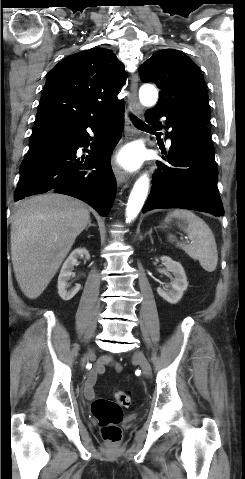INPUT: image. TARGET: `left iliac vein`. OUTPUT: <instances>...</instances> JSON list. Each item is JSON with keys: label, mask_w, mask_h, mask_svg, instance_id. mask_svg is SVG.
Wrapping results in <instances>:
<instances>
[{"label": "left iliac vein", "mask_w": 245, "mask_h": 479, "mask_svg": "<svg viewBox=\"0 0 245 479\" xmlns=\"http://www.w3.org/2000/svg\"><path fill=\"white\" fill-rule=\"evenodd\" d=\"M134 360L140 365L145 376H150L151 366L145 357L144 353L140 350H136L133 356Z\"/></svg>", "instance_id": "obj_1"}]
</instances>
